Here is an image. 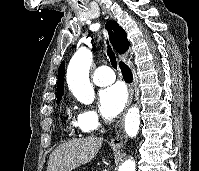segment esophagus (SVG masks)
Instances as JSON below:
<instances>
[{
	"label": "esophagus",
	"mask_w": 199,
	"mask_h": 171,
	"mask_svg": "<svg viewBox=\"0 0 199 171\" xmlns=\"http://www.w3.org/2000/svg\"><path fill=\"white\" fill-rule=\"evenodd\" d=\"M133 94H134V86L132 83H130L128 85V100H127L125 110L123 112V115L117 121V123L115 125L116 135L111 141V145L114 147H118V148L123 147L127 142V135L125 134V131H124V117H125V114L129 108L131 102H132Z\"/></svg>",
	"instance_id": "obj_1"
}]
</instances>
